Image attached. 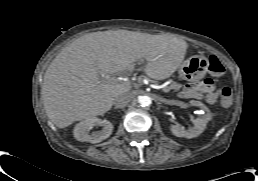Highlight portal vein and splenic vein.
I'll return each instance as SVG.
<instances>
[{
    "label": "portal vein and splenic vein",
    "instance_id": "18ae733b",
    "mask_svg": "<svg viewBox=\"0 0 258 181\" xmlns=\"http://www.w3.org/2000/svg\"><path fill=\"white\" fill-rule=\"evenodd\" d=\"M107 80L110 81V82L116 81V79H109V78H108ZM163 91L167 93V92H169L170 90H168L167 88H163Z\"/></svg>",
    "mask_w": 258,
    "mask_h": 181
}]
</instances>
